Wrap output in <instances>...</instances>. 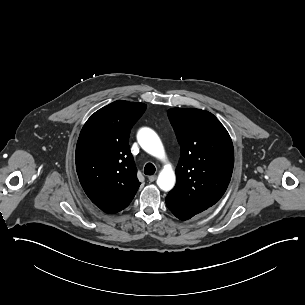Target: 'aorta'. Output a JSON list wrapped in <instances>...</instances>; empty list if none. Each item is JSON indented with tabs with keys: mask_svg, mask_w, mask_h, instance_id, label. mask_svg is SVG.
Returning a JSON list of instances; mask_svg holds the SVG:
<instances>
[{
	"mask_svg": "<svg viewBox=\"0 0 305 305\" xmlns=\"http://www.w3.org/2000/svg\"><path fill=\"white\" fill-rule=\"evenodd\" d=\"M140 146L150 155L163 159L165 157L164 147L159 136L150 128H142L137 134ZM176 182L175 172L170 166H165L159 173L157 185L163 191H170Z\"/></svg>",
	"mask_w": 305,
	"mask_h": 305,
	"instance_id": "aorta-1",
	"label": "aorta"
}]
</instances>
